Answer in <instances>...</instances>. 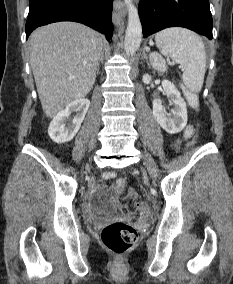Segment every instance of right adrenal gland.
Wrapping results in <instances>:
<instances>
[{
	"instance_id": "obj_1",
	"label": "right adrenal gland",
	"mask_w": 233,
	"mask_h": 284,
	"mask_svg": "<svg viewBox=\"0 0 233 284\" xmlns=\"http://www.w3.org/2000/svg\"><path fill=\"white\" fill-rule=\"evenodd\" d=\"M103 57H104V50L102 49V53H101V56H100V59H99L98 65H97V69H96V73L97 74L99 73V64H100V62L103 63Z\"/></svg>"
}]
</instances>
